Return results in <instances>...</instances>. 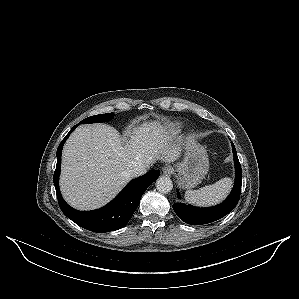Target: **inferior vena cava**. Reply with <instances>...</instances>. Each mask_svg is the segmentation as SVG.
I'll list each match as a JSON object with an SVG mask.
<instances>
[{
	"instance_id": "1",
	"label": "inferior vena cava",
	"mask_w": 299,
	"mask_h": 299,
	"mask_svg": "<svg viewBox=\"0 0 299 299\" xmlns=\"http://www.w3.org/2000/svg\"><path fill=\"white\" fill-rule=\"evenodd\" d=\"M147 172V167L143 165H139L129 170V175L131 177H138Z\"/></svg>"
}]
</instances>
